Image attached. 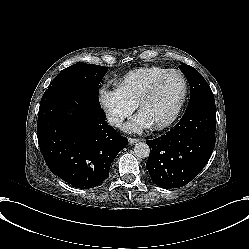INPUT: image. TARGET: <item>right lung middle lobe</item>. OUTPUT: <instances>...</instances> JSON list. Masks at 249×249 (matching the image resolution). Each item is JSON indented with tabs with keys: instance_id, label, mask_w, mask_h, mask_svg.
I'll list each match as a JSON object with an SVG mask.
<instances>
[{
	"instance_id": "right-lung-middle-lobe-1",
	"label": "right lung middle lobe",
	"mask_w": 249,
	"mask_h": 249,
	"mask_svg": "<svg viewBox=\"0 0 249 249\" xmlns=\"http://www.w3.org/2000/svg\"><path fill=\"white\" fill-rule=\"evenodd\" d=\"M104 66L74 64L62 70L48 86L54 90H78L94 106H100L98 93L100 80L107 73Z\"/></svg>"
}]
</instances>
